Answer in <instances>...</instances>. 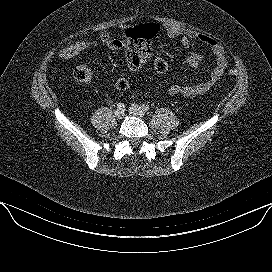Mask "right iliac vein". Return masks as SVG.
<instances>
[{"label": "right iliac vein", "instance_id": "right-iliac-vein-1", "mask_svg": "<svg viewBox=\"0 0 272 272\" xmlns=\"http://www.w3.org/2000/svg\"><path fill=\"white\" fill-rule=\"evenodd\" d=\"M123 116H124V111H123L122 109H117V110L115 111V117H116L117 119H122Z\"/></svg>", "mask_w": 272, "mask_h": 272}]
</instances>
